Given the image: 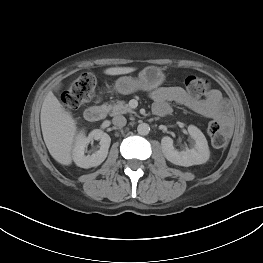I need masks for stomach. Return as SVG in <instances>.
Segmentation results:
<instances>
[{
    "label": "stomach",
    "mask_w": 263,
    "mask_h": 263,
    "mask_svg": "<svg viewBox=\"0 0 263 263\" xmlns=\"http://www.w3.org/2000/svg\"><path fill=\"white\" fill-rule=\"evenodd\" d=\"M165 80L164 73L157 66H147L139 72L138 78L123 76L116 80L114 90L120 94H131L138 90L149 91L160 86Z\"/></svg>",
    "instance_id": "0dacf381"
}]
</instances>
